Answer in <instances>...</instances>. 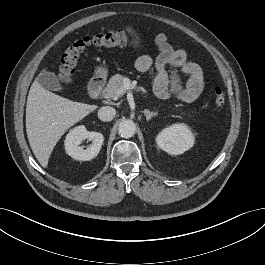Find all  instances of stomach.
<instances>
[{
    "label": "stomach",
    "instance_id": "0dacf381",
    "mask_svg": "<svg viewBox=\"0 0 265 265\" xmlns=\"http://www.w3.org/2000/svg\"><path fill=\"white\" fill-rule=\"evenodd\" d=\"M107 72H108L107 69L102 66H99L95 69V75L98 78H102V79L106 78Z\"/></svg>",
    "mask_w": 265,
    "mask_h": 265
}]
</instances>
